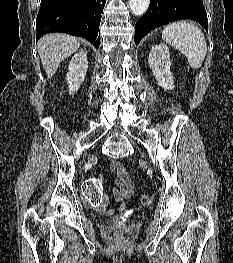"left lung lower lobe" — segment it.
<instances>
[{"instance_id":"0a47b994","label":"left lung lower lobe","mask_w":233,"mask_h":263,"mask_svg":"<svg viewBox=\"0 0 233 263\" xmlns=\"http://www.w3.org/2000/svg\"><path fill=\"white\" fill-rule=\"evenodd\" d=\"M181 19L196 20L206 30L208 28L202 0H150L147 12L135 25L134 41L138 44L152 29Z\"/></svg>"}]
</instances>
